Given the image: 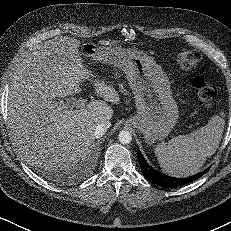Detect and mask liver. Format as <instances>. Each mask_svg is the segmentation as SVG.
Here are the masks:
<instances>
[{
  "label": "liver",
  "mask_w": 231,
  "mask_h": 231,
  "mask_svg": "<svg viewBox=\"0 0 231 231\" xmlns=\"http://www.w3.org/2000/svg\"><path fill=\"white\" fill-rule=\"evenodd\" d=\"M97 47L116 43L98 41ZM80 41L66 36L38 45L12 74L8 118L13 140L30 166L57 170L84 158L95 140V128L109 122L120 97L113 86L95 80L79 51ZM118 48V47H115ZM92 80L102 100L81 109H61L58 98L80 93L81 84Z\"/></svg>",
  "instance_id": "6515ba94"
}]
</instances>
